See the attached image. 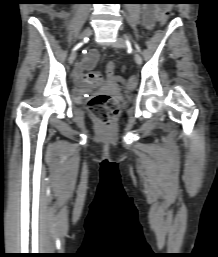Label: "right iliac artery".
Instances as JSON below:
<instances>
[{
  "mask_svg": "<svg viewBox=\"0 0 218 257\" xmlns=\"http://www.w3.org/2000/svg\"><path fill=\"white\" fill-rule=\"evenodd\" d=\"M85 40H87V39L85 38ZM81 45H82V43L77 44V45L74 47L73 51L77 50Z\"/></svg>",
  "mask_w": 218,
  "mask_h": 257,
  "instance_id": "82829eb1",
  "label": "right iliac artery"
}]
</instances>
